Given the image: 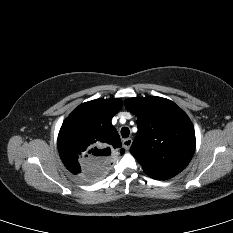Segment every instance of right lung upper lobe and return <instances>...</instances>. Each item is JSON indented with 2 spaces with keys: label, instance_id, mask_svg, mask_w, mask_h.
<instances>
[{
  "label": "right lung upper lobe",
  "instance_id": "1",
  "mask_svg": "<svg viewBox=\"0 0 233 233\" xmlns=\"http://www.w3.org/2000/svg\"><path fill=\"white\" fill-rule=\"evenodd\" d=\"M121 106L118 98L88 101L63 122L58 150L71 173L99 179L109 171L114 154H124L119 134L111 123Z\"/></svg>",
  "mask_w": 233,
  "mask_h": 233
}]
</instances>
